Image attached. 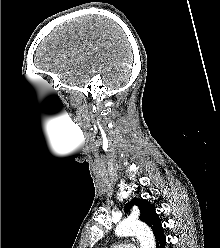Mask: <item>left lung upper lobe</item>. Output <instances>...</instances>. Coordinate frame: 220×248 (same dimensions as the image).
Masks as SVG:
<instances>
[{"mask_svg": "<svg viewBox=\"0 0 220 248\" xmlns=\"http://www.w3.org/2000/svg\"><path fill=\"white\" fill-rule=\"evenodd\" d=\"M135 204L140 209L139 219L145 222L147 225L151 227L153 233L156 237L158 232L162 229V225L159 219L158 214L155 211L154 205L144 199L133 198L130 203L126 204L124 207V212H128L132 205Z\"/></svg>", "mask_w": 220, "mask_h": 248, "instance_id": "obj_1", "label": "left lung upper lobe"}]
</instances>
